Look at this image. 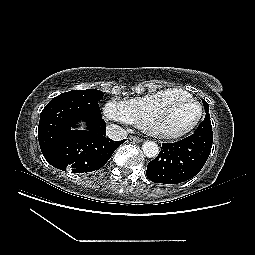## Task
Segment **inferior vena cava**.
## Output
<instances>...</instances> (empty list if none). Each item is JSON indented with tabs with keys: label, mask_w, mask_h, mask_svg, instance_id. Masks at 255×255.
<instances>
[{
	"label": "inferior vena cava",
	"mask_w": 255,
	"mask_h": 255,
	"mask_svg": "<svg viewBox=\"0 0 255 255\" xmlns=\"http://www.w3.org/2000/svg\"><path fill=\"white\" fill-rule=\"evenodd\" d=\"M106 133L107 136L114 141L126 139L128 135L125 129L115 124L108 125L106 127Z\"/></svg>",
	"instance_id": "602c4592"
}]
</instances>
